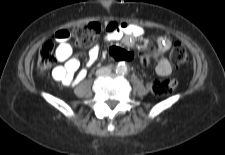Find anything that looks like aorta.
<instances>
[{
  "instance_id": "aorta-1",
  "label": "aorta",
  "mask_w": 225,
  "mask_h": 155,
  "mask_svg": "<svg viewBox=\"0 0 225 155\" xmlns=\"http://www.w3.org/2000/svg\"><path fill=\"white\" fill-rule=\"evenodd\" d=\"M128 71V67L125 63H118L116 66V72L120 75L126 74Z\"/></svg>"
}]
</instances>
